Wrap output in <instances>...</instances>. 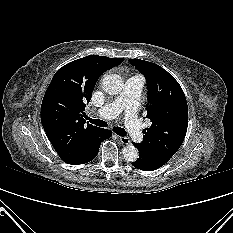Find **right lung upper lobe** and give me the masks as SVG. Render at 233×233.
Masks as SVG:
<instances>
[{
	"label": "right lung upper lobe",
	"mask_w": 233,
	"mask_h": 233,
	"mask_svg": "<svg viewBox=\"0 0 233 233\" xmlns=\"http://www.w3.org/2000/svg\"><path fill=\"white\" fill-rule=\"evenodd\" d=\"M123 59L90 55L60 68L46 90L41 122L48 139L64 162L80 155L100 129L85 125L84 107L98 78Z\"/></svg>",
	"instance_id": "1"
}]
</instances>
